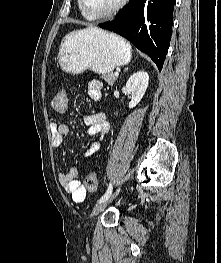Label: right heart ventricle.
Listing matches in <instances>:
<instances>
[{
	"instance_id": "obj_1",
	"label": "right heart ventricle",
	"mask_w": 221,
	"mask_h": 263,
	"mask_svg": "<svg viewBox=\"0 0 221 263\" xmlns=\"http://www.w3.org/2000/svg\"><path fill=\"white\" fill-rule=\"evenodd\" d=\"M78 7H79V10H80V12L82 13V15H84V13L82 12V10H81V8H80V6H79V0H78ZM85 16V15H84Z\"/></svg>"
}]
</instances>
